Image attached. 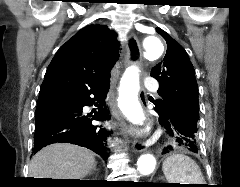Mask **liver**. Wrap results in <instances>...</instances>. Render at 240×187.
<instances>
[{
    "mask_svg": "<svg viewBox=\"0 0 240 187\" xmlns=\"http://www.w3.org/2000/svg\"><path fill=\"white\" fill-rule=\"evenodd\" d=\"M95 166L94 154L69 144H51L37 152L29 165V178L80 179Z\"/></svg>",
    "mask_w": 240,
    "mask_h": 187,
    "instance_id": "obj_1",
    "label": "liver"
}]
</instances>
